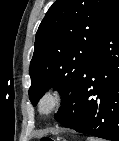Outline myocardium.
<instances>
[{
    "mask_svg": "<svg viewBox=\"0 0 119 141\" xmlns=\"http://www.w3.org/2000/svg\"><path fill=\"white\" fill-rule=\"evenodd\" d=\"M63 97L59 90H46L37 101V112L43 117H50L58 112Z\"/></svg>",
    "mask_w": 119,
    "mask_h": 141,
    "instance_id": "obj_1",
    "label": "myocardium"
}]
</instances>
